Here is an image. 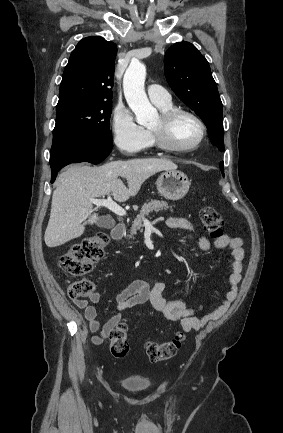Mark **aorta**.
Masks as SVG:
<instances>
[{
  "instance_id": "762f6f07",
  "label": "aorta",
  "mask_w": 283,
  "mask_h": 433,
  "mask_svg": "<svg viewBox=\"0 0 283 433\" xmlns=\"http://www.w3.org/2000/svg\"><path fill=\"white\" fill-rule=\"evenodd\" d=\"M146 67L139 61L131 62L123 78V89L126 101L140 125H147L156 119L157 110L149 102L144 83Z\"/></svg>"
}]
</instances>
